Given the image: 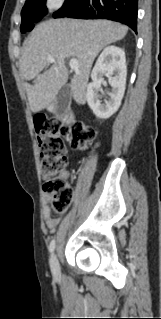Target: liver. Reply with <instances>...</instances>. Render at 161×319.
I'll return each mask as SVG.
<instances>
[{"label":"liver","instance_id":"obj_1","mask_svg":"<svg viewBox=\"0 0 161 319\" xmlns=\"http://www.w3.org/2000/svg\"><path fill=\"white\" fill-rule=\"evenodd\" d=\"M128 28L107 20L50 19L39 24L26 39L20 67L26 81V93L32 112L36 113L55 99L66 84L68 69L65 59L78 60V68L70 88L78 104L86 102V88L92 64L98 53L107 45L123 39ZM55 62L46 67L47 57Z\"/></svg>","mask_w":161,"mask_h":319}]
</instances>
